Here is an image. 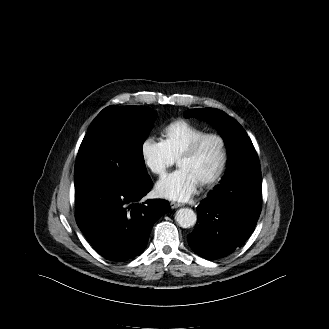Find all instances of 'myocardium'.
<instances>
[{"label":"myocardium","instance_id":"f54148a6","mask_svg":"<svg viewBox=\"0 0 329 329\" xmlns=\"http://www.w3.org/2000/svg\"><path fill=\"white\" fill-rule=\"evenodd\" d=\"M208 139H216L219 142L221 148V158L216 170L211 175L199 182L201 185L213 184L223 175L228 163V145L225 137L217 132H206L194 139L177 158V162H179L183 158L194 156L202 144Z\"/></svg>","mask_w":329,"mask_h":329}]
</instances>
